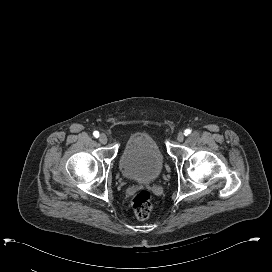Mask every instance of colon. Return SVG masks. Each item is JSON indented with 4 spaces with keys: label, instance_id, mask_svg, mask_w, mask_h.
<instances>
[{
    "label": "colon",
    "instance_id": "5ec220e1",
    "mask_svg": "<svg viewBox=\"0 0 272 272\" xmlns=\"http://www.w3.org/2000/svg\"><path fill=\"white\" fill-rule=\"evenodd\" d=\"M132 208L137 218L147 219L153 209V197L147 190L139 191L132 199Z\"/></svg>",
    "mask_w": 272,
    "mask_h": 272
}]
</instances>
